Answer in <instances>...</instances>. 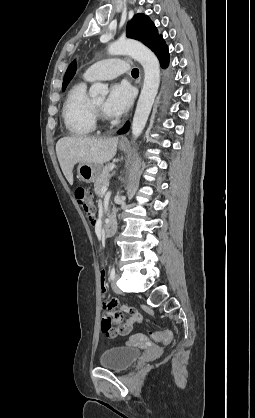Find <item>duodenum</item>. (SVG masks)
<instances>
[{"label": "duodenum", "mask_w": 255, "mask_h": 418, "mask_svg": "<svg viewBox=\"0 0 255 418\" xmlns=\"http://www.w3.org/2000/svg\"><path fill=\"white\" fill-rule=\"evenodd\" d=\"M116 229V220L115 216L112 214L110 215L103 225V232H113Z\"/></svg>", "instance_id": "1"}]
</instances>
